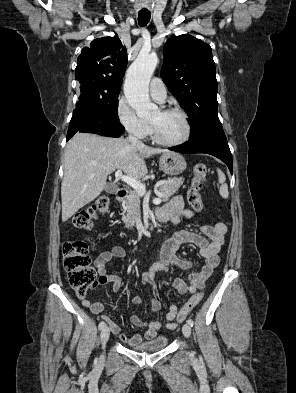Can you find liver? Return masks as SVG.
Masks as SVG:
<instances>
[{
	"mask_svg": "<svg viewBox=\"0 0 296 393\" xmlns=\"http://www.w3.org/2000/svg\"><path fill=\"white\" fill-rule=\"evenodd\" d=\"M170 151L146 145L133 146L128 139L77 133L64 153L61 184L62 221L96 199L106 187L107 176L122 170L136 180L145 178V159Z\"/></svg>",
	"mask_w": 296,
	"mask_h": 393,
	"instance_id": "liver-1",
	"label": "liver"
}]
</instances>
